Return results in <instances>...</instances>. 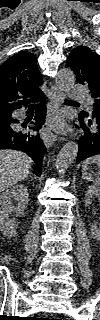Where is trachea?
I'll return each instance as SVG.
<instances>
[{
    "label": "trachea",
    "instance_id": "obj_1",
    "mask_svg": "<svg viewBox=\"0 0 100 320\" xmlns=\"http://www.w3.org/2000/svg\"><path fill=\"white\" fill-rule=\"evenodd\" d=\"M65 102H72V101H70V100H66ZM30 107H31V108L36 107V104H32V105H30Z\"/></svg>",
    "mask_w": 100,
    "mask_h": 320
}]
</instances>
